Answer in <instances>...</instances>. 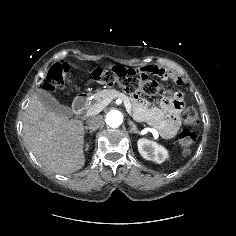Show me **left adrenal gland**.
<instances>
[{
	"label": "left adrenal gland",
	"instance_id": "left-adrenal-gland-1",
	"mask_svg": "<svg viewBox=\"0 0 236 236\" xmlns=\"http://www.w3.org/2000/svg\"><path fill=\"white\" fill-rule=\"evenodd\" d=\"M129 125L132 126L130 133H137L140 134V132L137 130L136 124H134L132 121H129Z\"/></svg>",
	"mask_w": 236,
	"mask_h": 236
}]
</instances>
